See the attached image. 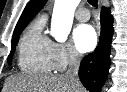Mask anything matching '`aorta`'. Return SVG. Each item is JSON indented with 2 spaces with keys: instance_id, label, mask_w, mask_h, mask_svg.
Instances as JSON below:
<instances>
[{
  "instance_id": "762f6f07",
  "label": "aorta",
  "mask_w": 127,
  "mask_h": 92,
  "mask_svg": "<svg viewBox=\"0 0 127 92\" xmlns=\"http://www.w3.org/2000/svg\"><path fill=\"white\" fill-rule=\"evenodd\" d=\"M80 0H55L52 20L51 35L58 42H65L71 31L74 12Z\"/></svg>"
}]
</instances>
